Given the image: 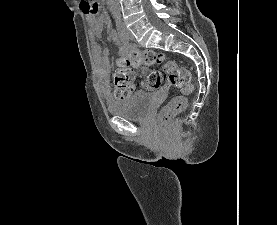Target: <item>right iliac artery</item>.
Instances as JSON below:
<instances>
[{
    "label": "right iliac artery",
    "mask_w": 277,
    "mask_h": 225,
    "mask_svg": "<svg viewBox=\"0 0 277 225\" xmlns=\"http://www.w3.org/2000/svg\"><path fill=\"white\" fill-rule=\"evenodd\" d=\"M117 33L120 37V39L124 42V43H128L129 39L128 37L125 35V33L123 32V29H122V25L121 23H117Z\"/></svg>",
    "instance_id": "82829eb1"
}]
</instances>
